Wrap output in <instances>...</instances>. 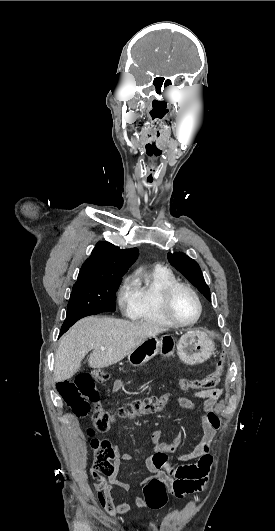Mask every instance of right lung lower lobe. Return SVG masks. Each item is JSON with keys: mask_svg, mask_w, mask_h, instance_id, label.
Instances as JSON below:
<instances>
[{"mask_svg": "<svg viewBox=\"0 0 275 531\" xmlns=\"http://www.w3.org/2000/svg\"><path fill=\"white\" fill-rule=\"evenodd\" d=\"M64 332H66V331H65V330H61V333H60V335H62V334H63Z\"/></svg>", "mask_w": 275, "mask_h": 531, "instance_id": "98d812e1", "label": "right lung lower lobe"}]
</instances>
